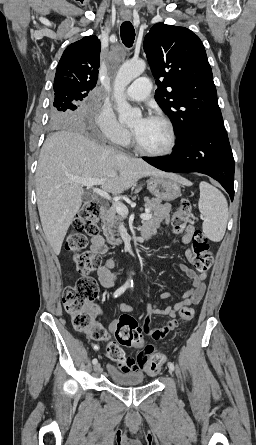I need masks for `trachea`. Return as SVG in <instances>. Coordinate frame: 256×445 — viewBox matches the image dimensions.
I'll use <instances>...</instances> for the list:
<instances>
[{"label":"trachea","mask_w":256,"mask_h":445,"mask_svg":"<svg viewBox=\"0 0 256 445\" xmlns=\"http://www.w3.org/2000/svg\"><path fill=\"white\" fill-rule=\"evenodd\" d=\"M120 36L126 47H131L135 39V30L131 22L125 21L120 28Z\"/></svg>","instance_id":"3493384b"}]
</instances>
